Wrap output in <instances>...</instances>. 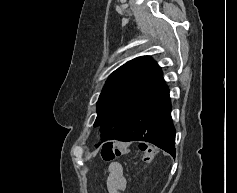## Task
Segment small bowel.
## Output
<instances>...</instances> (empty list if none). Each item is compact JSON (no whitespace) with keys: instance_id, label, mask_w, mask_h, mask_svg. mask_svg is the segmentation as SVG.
<instances>
[{"instance_id":"small-bowel-1","label":"small bowel","mask_w":237,"mask_h":193,"mask_svg":"<svg viewBox=\"0 0 237 193\" xmlns=\"http://www.w3.org/2000/svg\"><path fill=\"white\" fill-rule=\"evenodd\" d=\"M106 187L108 193H123L126 190L127 179L121 164L114 162L108 166Z\"/></svg>"}]
</instances>
